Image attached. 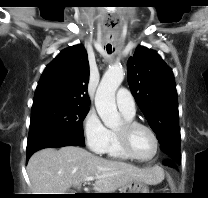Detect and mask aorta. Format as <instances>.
<instances>
[{
	"label": "aorta",
	"mask_w": 208,
	"mask_h": 198,
	"mask_svg": "<svg viewBox=\"0 0 208 198\" xmlns=\"http://www.w3.org/2000/svg\"><path fill=\"white\" fill-rule=\"evenodd\" d=\"M121 67H111L103 75L95 95V106L104 125L115 128L121 123V115L117 111L115 93L124 79Z\"/></svg>",
	"instance_id": "aorta-1"
}]
</instances>
